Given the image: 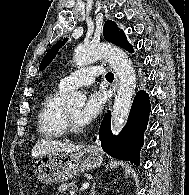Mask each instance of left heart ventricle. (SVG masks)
<instances>
[{
  "instance_id": "1",
  "label": "left heart ventricle",
  "mask_w": 189,
  "mask_h": 195,
  "mask_svg": "<svg viewBox=\"0 0 189 195\" xmlns=\"http://www.w3.org/2000/svg\"><path fill=\"white\" fill-rule=\"evenodd\" d=\"M81 109H82V106L81 105H74V106H71V107L67 108V111L71 115L73 121L78 126L83 127V125L78 120V116H79V113H80Z\"/></svg>"
}]
</instances>
